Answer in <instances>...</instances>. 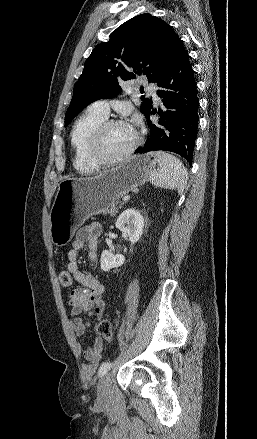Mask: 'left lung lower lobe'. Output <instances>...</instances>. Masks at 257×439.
<instances>
[{"label":"left lung lower lobe","mask_w":257,"mask_h":439,"mask_svg":"<svg viewBox=\"0 0 257 439\" xmlns=\"http://www.w3.org/2000/svg\"><path fill=\"white\" fill-rule=\"evenodd\" d=\"M157 86L164 109H158L159 120L156 123L150 120V115L156 110L151 108L146 114L150 134L145 145L136 149L135 154L170 151L181 155L191 165L198 129L199 99L194 71L180 38L167 67L157 80Z\"/></svg>","instance_id":"left-lung-lower-lobe-1"}]
</instances>
